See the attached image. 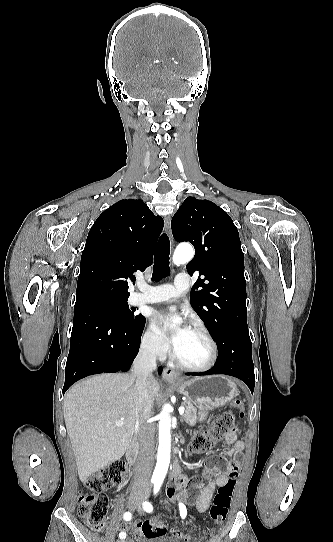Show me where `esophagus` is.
Returning <instances> with one entry per match:
<instances>
[{
  "mask_svg": "<svg viewBox=\"0 0 333 542\" xmlns=\"http://www.w3.org/2000/svg\"><path fill=\"white\" fill-rule=\"evenodd\" d=\"M165 229L168 235L171 232V219L170 217L165 218ZM180 373L177 370H174L170 367L164 369L162 377L167 382H173L179 378Z\"/></svg>",
  "mask_w": 333,
  "mask_h": 542,
  "instance_id": "obj_1",
  "label": "esophagus"
}]
</instances>
